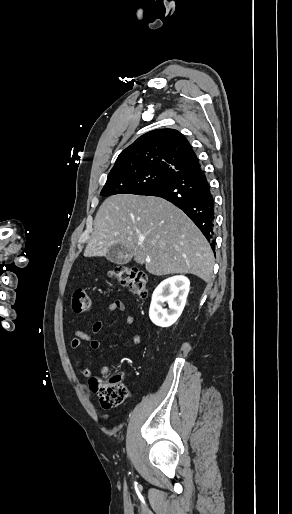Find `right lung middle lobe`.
<instances>
[{"label": "right lung middle lobe", "mask_w": 292, "mask_h": 514, "mask_svg": "<svg viewBox=\"0 0 292 514\" xmlns=\"http://www.w3.org/2000/svg\"><path fill=\"white\" fill-rule=\"evenodd\" d=\"M171 175V173L167 172H143L111 176L107 178L100 195L110 196L123 193L143 195Z\"/></svg>", "instance_id": "dd1d6c3e"}]
</instances>
